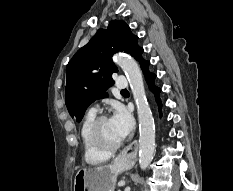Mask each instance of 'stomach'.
Wrapping results in <instances>:
<instances>
[{
    "instance_id": "obj_1",
    "label": "stomach",
    "mask_w": 233,
    "mask_h": 191,
    "mask_svg": "<svg viewBox=\"0 0 233 191\" xmlns=\"http://www.w3.org/2000/svg\"><path fill=\"white\" fill-rule=\"evenodd\" d=\"M127 167L116 161L108 166L81 168L74 178V191H114L117 176Z\"/></svg>"
}]
</instances>
